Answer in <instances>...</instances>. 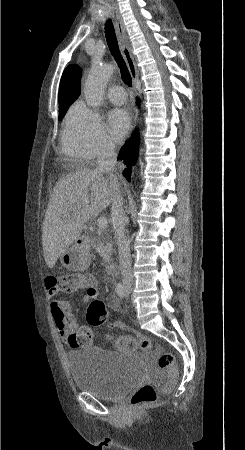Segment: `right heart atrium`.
Here are the masks:
<instances>
[{
    "instance_id": "obj_1",
    "label": "right heart atrium",
    "mask_w": 245,
    "mask_h": 450,
    "mask_svg": "<svg viewBox=\"0 0 245 450\" xmlns=\"http://www.w3.org/2000/svg\"><path fill=\"white\" fill-rule=\"evenodd\" d=\"M62 147L67 155L85 161L115 148L99 114L83 102L75 103L66 115Z\"/></svg>"
}]
</instances>
